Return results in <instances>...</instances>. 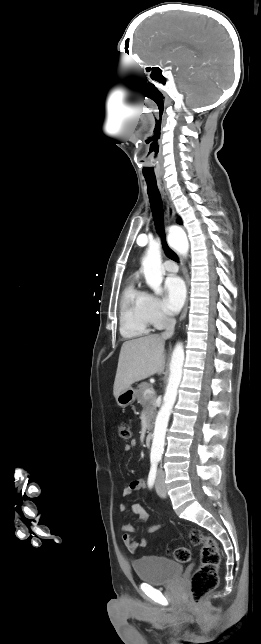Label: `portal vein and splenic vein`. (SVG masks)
<instances>
[{
    "mask_svg": "<svg viewBox=\"0 0 261 644\" xmlns=\"http://www.w3.org/2000/svg\"><path fill=\"white\" fill-rule=\"evenodd\" d=\"M151 394H154L153 388L146 389L145 392H144V396H148V395H151Z\"/></svg>",
    "mask_w": 261,
    "mask_h": 644,
    "instance_id": "obj_1",
    "label": "portal vein and splenic vein"
}]
</instances>
